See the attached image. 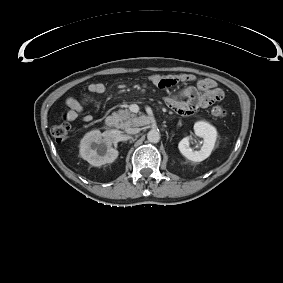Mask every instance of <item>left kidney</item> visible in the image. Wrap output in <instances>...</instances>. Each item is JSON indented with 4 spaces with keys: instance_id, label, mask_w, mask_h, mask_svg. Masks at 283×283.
I'll return each mask as SVG.
<instances>
[{
    "instance_id": "5707ae66",
    "label": "left kidney",
    "mask_w": 283,
    "mask_h": 283,
    "mask_svg": "<svg viewBox=\"0 0 283 283\" xmlns=\"http://www.w3.org/2000/svg\"><path fill=\"white\" fill-rule=\"evenodd\" d=\"M195 135L203 138V145L199 151H194L190 147V138H183L179 144V151L187 159L194 162H201L208 158L214 149L217 139V131L214 126L205 121H198L194 124Z\"/></svg>"
}]
</instances>
